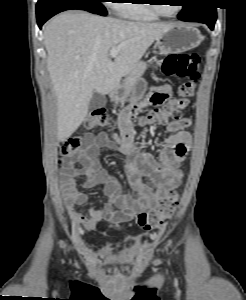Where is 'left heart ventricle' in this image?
<instances>
[{
    "label": "left heart ventricle",
    "instance_id": "b2bd125f",
    "mask_svg": "<svg viewBox=\"0 0 246 300\" xmlns=\"http://www.w3.org/2000/svg\"><path fill=\"white\" fill-rule=\"evenodd\" d=\"M163 2L166 3H172L170 5H161V9L162 11H164L166 14H173L175 13V11H177L178 9V5H175V1H171V0H163Z\"/></svg>",
    "mask_w": 246,
    "mask_h": 300
}]
</instances>
